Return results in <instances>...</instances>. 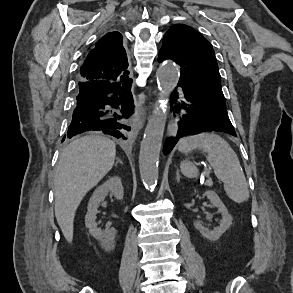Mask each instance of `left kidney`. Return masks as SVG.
Here are the masks:
<instances>
[{"label":"left kidney","instance_id":"left-kidney-1","mask_svg":"<svg viewBox=\"0 0 293 293\" xmlns=\"http://www.w3.org/2000/svg\"><path fill=\"white\" fill-rule=\"evenodd\" d=\"M205 195L210 200L211 204L214 207H217L218 212L221 213L222 219L219 223V226L216 227L214 230H210L202 225V223L198 220L194 222V227L199 230L203 237L207 238L210 241L218 240L221 235L228 230V228L232 224V216L228 213L226 206L220 200L219 196L216 192L212 190H208L205 192Z\"/></svg>","mask_w":293,"mask_h":293}]
</instances>
